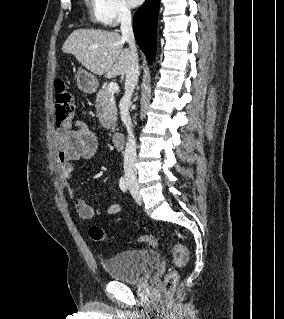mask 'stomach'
Wrapping results in <instances>:
<instances>
[{
  "instance_id": "obj_1",
  "label": "stomach",
  "mask_w": 284,
  "mask_h": 319,
  "mask_svg": "<svg viewBox=\"0 0 284 319\" xmlns=\"http://www.w3.org/2000/svg\"><path fill=\"white\" fill-rule=\"evenodd\" d=\"M77 86L84 93H93L98 86L97 78L83 69L76 74Z\"/></svg>"
}]
</instances>
